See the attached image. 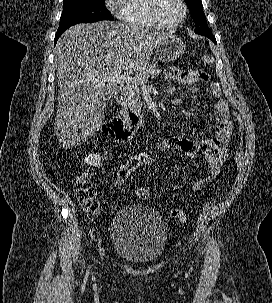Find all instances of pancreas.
Wrapping results in <instances>:
<instances>
[{
	"label": "pancreas",
	"instance_id": "pancreas-1",
	"mask_svg": "<svg viewBox=\"0 0 272 303\" xmlns=\"http://www.w3.org/2000/svg\"><path fill=\"white\" fill-rule=\"evenodd\" d=\"M161 73V70L157 68V64L148 65L145 69L140 71L134 76L137 80L136 83L126 84L125 86V95L135 107H140V94L141 87L140 82L143 81L146 83L149 77H157Z\"/></svg>",
	"mask_w": 272,
	"mask_h": 303
}]
</instances>
